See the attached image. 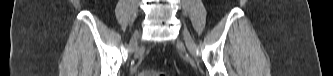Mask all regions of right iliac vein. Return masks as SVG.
I'll return each mask as SVG.
<instances>
[{
    "label": "right iliac vein",
    "instance_id": "right-iliac-vein-1",
    "mask_svg": "<svg viewBox=\"0 0 333 76\" xmlns=\"http://www.w3.org/2000/svg\"><path fill=\"white\" fill-rule=\"evenodd\" d=\"M137 37H138V33H135V34H134V37H133V39H132L131 45H134V44H135V40L137 39Z\"/></svg>",
    "mask_w": 333,
    "mask_h": 76
}]
</instances>
